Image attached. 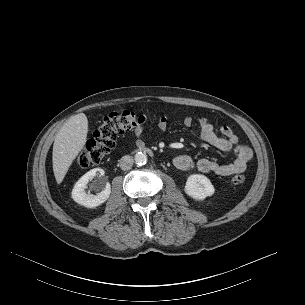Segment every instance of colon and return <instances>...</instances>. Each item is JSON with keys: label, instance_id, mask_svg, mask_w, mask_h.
<instances>
[{"label": "colon", "instance_id": "colon-1", "mask_svg": "<svg viewBox=\"0 0 305 305\" xmlns=\"http://www.w3.org/2000/svg\"><path fill=\"white\" fill-rule=\"evenodd\" d=\"M143 117L131 110L111 112L105 116L85 148L78 155L77 163L82 168H88L100 163L112 150L117 137L136 127ZM232 183L240 185L244 183V175H235Z\"/></svg>", "mask_w": 305, "mask_h": 305}]
</instances>
